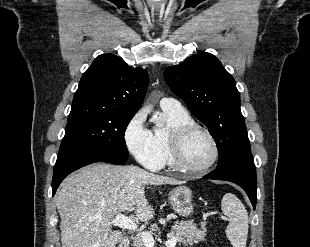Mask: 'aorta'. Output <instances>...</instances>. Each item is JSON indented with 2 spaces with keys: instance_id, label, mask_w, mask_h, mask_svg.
<instances>
[{
  "instance_id": "762f6f07",
  "label": "aorta",
  "mask_w": 310,
  "mask_h": 247,
  "mask_svg": "<svg viewBox=\"0 0 310 247\" xmlns=\"http://www.w3.org/2000/svg\"><path fill=\"white\" fill-rule=\"evenodd\" d=\"M152 121L157 127H162L164 125V119L159 112H155V114L152 117Z\"/></svg>"
}]
</instances>
